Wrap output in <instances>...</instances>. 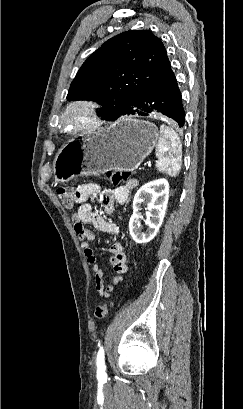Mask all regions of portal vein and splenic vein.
<instances>
[{"mask_svg":"<svg viewBox=\"0 0 243 409\" xmlns=\"http://www.w3.org/2000/svg\"><path fill=\"white\" fill-rule=\"evenodd\" d=\"M148 166L150 167V166H151V163H148Z\"/></svg>","mask_w":243,"mask_h":409,"instance_id":"obj_1","label":"portal vein and splenic vein"}]
</instances>
